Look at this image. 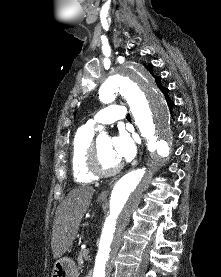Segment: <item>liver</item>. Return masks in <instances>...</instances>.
I'll list each match as a JSON object with an SVG mask.
<instances>
[{"label": "liver", "mask_w": 221, "mask_h": 277, "mask_svg": "<svg viewBox=\"0 0 221 277\" xmlns=\"http://www.w3.org/2000/svg\"><path fill=\"white\" fill-rule=\"evenodd\" d=\"M95 189L81 186L71 190L58 206L53 222L51 247L54 258L65 254L75 239Z\"/></svg>", "instance_id": "obj_1"}]
</instances>
